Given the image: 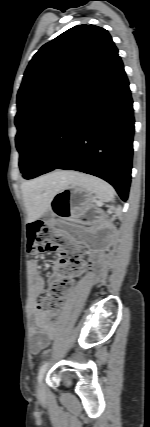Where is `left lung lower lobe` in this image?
Here are the masks:
<instances>
[{"instance_id":"1","label":"left lung lower lobe","mask_w":150,"mask_h":427,"mask_svg":"<svg viewBox=\"0 0 150 427\" xmlns=\"http://www.w3.org/2000/svg\"><path fill=\"white\" fill-rule=\"evenodd\" d=\"M132 103L117 53L60 114L23 177L32 179L54 169L81 171L109 182L126 201L133 155Z\"/></svg>"}]
</instances>
